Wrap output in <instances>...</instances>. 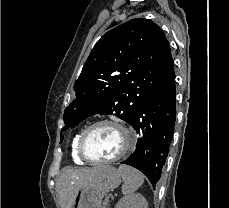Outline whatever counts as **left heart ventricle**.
Masks as SVG:
<instances>
[{
    "mask_svg": "<svg viewBox=\"0 0 229 208\" xmlns=\"http://www.w3.org/2000/svg\"><path fill=\"white\" fill-rule=\"evenodd\" d=\"M126 134L118 127L103 125L92 130L86 139V153L90 160H111L124 149Z\"/></svg>",
    "mask_w": 229,
    "mask_h": 208,
    "instance_id": "b2bd125f",
    "label": "left heart ventricle"
}]
</instances>
